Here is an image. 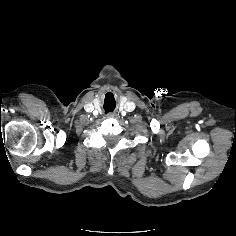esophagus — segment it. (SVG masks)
Segmentation results:
<instances>
[{"instance_id":"34e87169","label":"esophagus","mask_w":236,"mask_h":236,"mask_svg":"<svg viewBox=\"0 0 236 236\" xmlns=\"http://www.w3.org/2000/svg\"><path fill=\"white\" fill-rule=\"evenodd\" d=\"M108 118H117V115L115 113H110L107 115Z\"/></svg>"}]
</instances>
